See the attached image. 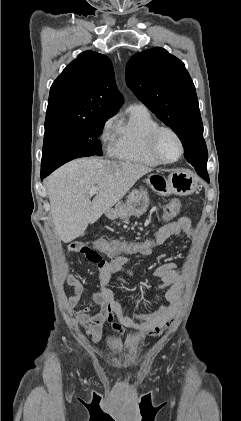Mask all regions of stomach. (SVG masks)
<instances>
[{"label": "stomach", "instance_id": "stomach-1", "mask_svg": "<svg viewBox=\"0 0 241 421\" xmlns=\"http://www.w3.org/2000/svg\"><path fill=\"white\" fill-rule=\"evenodd\" d=\"M147 184L162 196L176 194L186 196L192 194L198 187L196 177L188 171L174 170L168 176L156 173L150 174L146 179ZM149 206V196L146 190H141L138 199L133 203L132 209L128 212L137 217L144 214ZM110 219L124 218L127 215L124 204L106 212Z\"/></svg>", "mask_w": 241, "mask_h": 421}]
</instances>
